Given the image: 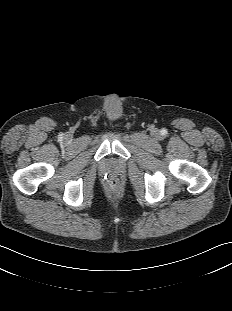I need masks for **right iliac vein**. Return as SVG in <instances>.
Returning a JSON list of instances; mask_svg holds the SVG:
<instances>
[{"mask_svg":"<svg viewBox=\"0 0 232 311\" xmlns=\"http://www.w3.org/2000/svg\"><path fill=\"white\" fill-rule=\"evenodd\" d=\"M70 140V137L69 136H66L65 137V141H69Z\"/></svg>","mask_w":232,"mask_h":311,"instance_id":"obj_1","label":"right iliac vein"}]
</instances>
